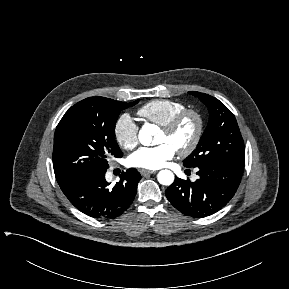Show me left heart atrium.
Here are the masks:
<instances>
[{
	"label": "left heart atrium",
	"mask_w": 289,
	"mask_h": 289,
	"mask_svg": "<svg viewBox=\"0 0 289 289\" xmlns=\"http://www.w3.org/2000/svg\"><path fill=\"white\" fill-rule=\"evenodd\" d=\"M176 153L173 146L162 143L155 147H141L128 157V163L140 169H158Z\"/></svg>",
	"instance_id": "obj_1"
}]
</instances>
